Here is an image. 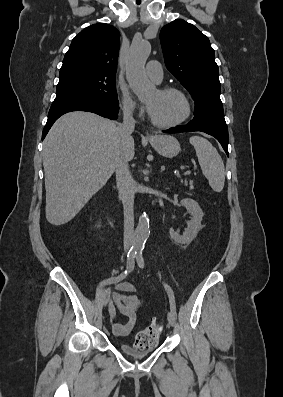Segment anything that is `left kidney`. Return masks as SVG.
<instances>
[{"instance_id":"left-kidney-1","label":"left kidney","mask_w":283,"mask_h":397,"mask_svg":"<svg viewBox=\"0 0 283 397\" xmlns=\"http://www.w3.org/2000/svg\"><path fill=\"white\" fill-rule=\"evenodd\" d=\"M181 204L189 211L190 215L192 216L191 220L188 223L183 235H180L172 228H170L169 233L171 239H173L176 243L189 244L197 236L201 229V221L204 213L199 204L193 199L185 198L181 200Z\"/></svg>"}]
</instances>
